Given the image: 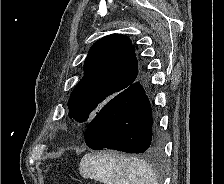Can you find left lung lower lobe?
Returning <instances> with one entry per match:
<instances>
[{"mask_svg": "<svg viewBox=\"0 0 224 184\" xmlns=\"http://www.w3.org/2000/svg\"><path fill=\"white\" fill-rule=\"evenodd\" d=\"M152 123L149 99L141 84L135 82L98 111L87 127L85 142L94 150L157 154L163 141Z\"/></svg>", "mask_w": 224, "mask_h": 184, "instance_id": "0a47b994", "label": "left lung lower lobe"}]
</instances>
